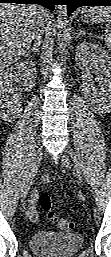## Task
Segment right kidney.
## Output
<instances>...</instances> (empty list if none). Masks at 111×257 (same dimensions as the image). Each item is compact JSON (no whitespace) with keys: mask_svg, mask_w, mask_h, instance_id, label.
I'll return each instance as SVG.
<instances>
[{"mask_svg":"<svg viewBox=\"0 0 111 257\" xmlns=\"http://www.w3.org/2000/svg\"><path fill=\"white\" fill-rule=\"evenodd\" d=\"M36 77V67L32 61H20L2 70L0 81L1 113L5 118H15L22 106V96L17 91L31 89ZM24 83L13 90V85ZM16 91V92H15Z\"/></svg>","mask_w":111,"mask_h":257,"instance_id":"1","label":"right kidney"}]
</instances>
